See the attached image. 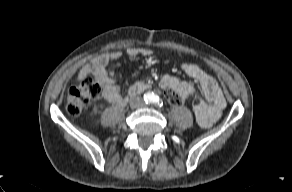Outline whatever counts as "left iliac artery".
I'll list each match as a JSON object with an SVG mask.
<instances>
[{"label":"left iliac artery","instance_id":"44dca946","mask_svg":"<svg viewBox=\"0 0 292 192\" xmlns=\"http://www.w3.org/2000/svg\"><path fill=\"white\" fill-rule=\"evenodd\" d=\"M152 103L161 107L163 105V103L161 102V100L159 99V97L157 96H154L153 99H152Z\"/></svg>","mask_w":292,"mask_h":192}]
</instances>
